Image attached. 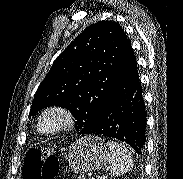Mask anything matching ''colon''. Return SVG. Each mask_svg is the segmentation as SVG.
I'll list each match as a JSON object with an SVG mask.
<instances>
[{"instance_id":"obj_1","label":"colon","mask_w":183,"mask_h":179,"mask_svg":"<svg viewBox=\"0 0 183 179\" xmlns=\"http://www.w3.org/2000/svg\"><path fill=\"white\" fill-rule=\"evenodd\" d=\"M58 160L51 150L32 149L28 152L23 169V179H54L58 171Z\"/></svg>"}]
</instances>
